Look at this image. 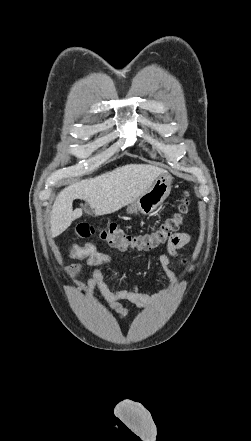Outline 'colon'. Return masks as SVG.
I'll list each match as a JSON object with an SVG mask.
<instances>
[{
    "mask_svg": "<svg viewBox=\"0 0 251 441\" xmlns=\"http://www.w3.org/2000/svg\"><path fill=\"white\" fill-rule=\"evenodd\" d=\"M188 194H185L179 205L178 213L165 219L156 229L142 233L129 234L118 224L108 222L104 225H94L81 222L75 227V234L80 238L99 236L110 246L119 250H149L169 241L176 231L183 225L184 218L189 211Z\"/></svg>",
    "mask_w": 251,
    "mask_h": 441,
    "instance_id": "1",
    "label": "colon"
}]
</instances>
